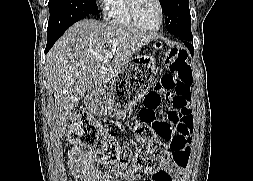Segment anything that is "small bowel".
I'll return each instance as SVG.
<instances>
[{
    "mask_svg": "<svg viewBox=\"0 0 253 181\" xmlns=\"http://www.w3.org/2000/svg\"><path fill=\"white\" fill-rule=\"evenodd\" d=\"M172 130H179L178 138L174 143L173 159L164 163L162 167H150L148 181H184V173L189 163L192 142V117L186 118L177 125H172ZM69 167L79 181H134L132 172L113 174L101 172L96 167V160L92 154L84 153L78 148L69 150Z\"/></svg>",
    "mask_w": 253,
    "mask_h": 181,
    "instance_id": "c3829d8e",
    "label": "small bowel"
}]
</instances>
